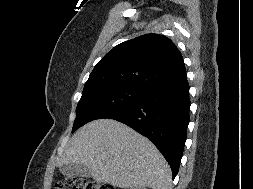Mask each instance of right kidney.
I'll return each instance as SVG.
<instances>
[{"instance_id": "1", "label": "right kidney", "mask_w": 253, "mask_h": 189, "mask_svg": "<svg viewBox=\"0 0 253 189\" xmlns=\"http://www.w3.org/2000/svg\"><path fill=\"white\" fill-rule=\"evenodd\" d=\"M131 189H146V188H142V187H140V186H136V187L131 188Z\"/></svg>"}]
</instances>
